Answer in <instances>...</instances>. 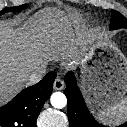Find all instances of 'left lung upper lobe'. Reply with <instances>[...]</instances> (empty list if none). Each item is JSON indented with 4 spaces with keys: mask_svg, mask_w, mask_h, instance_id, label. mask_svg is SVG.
<instances>
[{
    "mask_svg": "<svg viewBox=\"0 0 127 127\" xmlns=\"http://www.w3.org/2000/svg\"><path fill=\"white\" fill-rule=\"evenodd\" d=\"M110 28L112 30L119 28H127V19L119 12L112 10Z\"/></svg>",
    "mask_w": 127,
    "mask_h": 127,
    "instance_id": "obj_1",
    "label": "left lung upper lobe"
}]
</instances>
